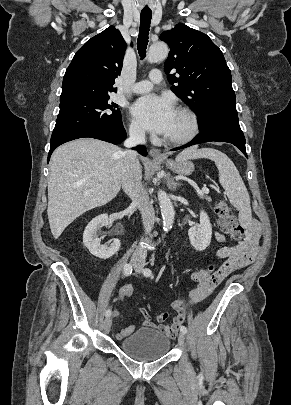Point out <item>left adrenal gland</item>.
I'll list each match as a JSON object with an SVG mask.
<instances>
[{
    "mask_svg": "<svg viewBox=\"0 0 291 405\" xmlns=\"http://www.w3.org/2000/svg\"><path fill=\"white\" fill-rule=\"evenodd\" d=\"M167 186L171 191H175L177 187L180 186L178 182H175L171 177L170 173L167 174Z\"/></svg>",
    "mask_w": 291,
    "mask_h": 405,
    "instance_id": "obj_1",
    "label": "left adrenal gland"
}]
</instances>
